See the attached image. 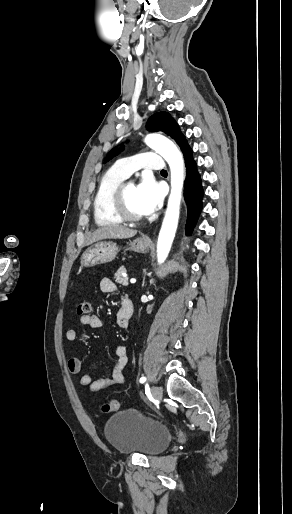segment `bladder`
<instances>
[{"label": "bladder", "mask_w": 292, "mask_h": 514, "mask_svg": "<svg viewBox=\"0 0 292 514\" xmlns=\"http://www.w3.org/2000/svg\"><path fill=\"white\" fill-rule=\"evenodd\" d=\"M103 435L117 452L147 457L163 451L171 439L167 426L136 410H123L111 416L104 424Z\"/></svg>", "instance_id": "bladder-1"}]
</instances>
